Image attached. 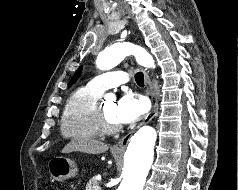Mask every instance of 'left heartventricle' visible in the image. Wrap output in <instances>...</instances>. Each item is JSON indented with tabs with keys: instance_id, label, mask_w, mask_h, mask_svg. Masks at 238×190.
Here are the masks:
<instances>
[{
	"instance_id": "1",
	"label": "left heart ventricle",
	"mask_w": 238,
	"mask_h": 190,
	"mask_svg": "<svg viewBox=\"0 0 238 190\" xmlns=\"http://www.w3.org/2000/svg\"><path fill=\"white\" fill-rule=\"evenodd\" d=\"M105 115L112 123H119L116 117L117 103L113 101L105 102L102 105Z\"/></svg>"
}]
</instances>
